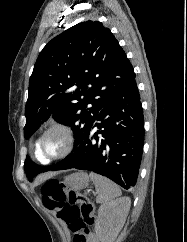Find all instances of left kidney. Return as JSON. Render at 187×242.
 I'll return each instance as SVG.
<instances>
[{
	"label": "left kidney",
	"instance_id": "obj_1",
	"mask_svg": "<svg viewBox=\"0 0 187 242\" xmlns=\"http://www.w3.org/2000/svg\"><path fill=\"white\" fill-rule=\"evenodd\" d=\"M131 205L128 197H122L100 206L95 232L101 242H114L121 231Z\"/></svg>",
	"mask_w": 187,
	"mask_h": 242
}]
</instances>
